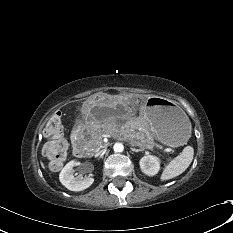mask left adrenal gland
I'll list each match as a JSON object with an SVG mask.
<instances>
[{
    "mask_svg": "<svg viewBox=\"0 0 233 233\" xmlns=\"http://www.w3.org/2000/svg\"><path fill=\"white\" fill-rule=\"evenodd\" d=\"M130 149H131V151H133V152H141V151H144V148H141V147H140V149H136V148H133V147H131Z\"/></svg>",
    "mask_w": 233,
    "mask_h": 233,
    "instance_id": "left-adrenal-gland-1",
    "label": "left adrenal gland"
}]
</instances>
